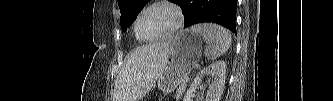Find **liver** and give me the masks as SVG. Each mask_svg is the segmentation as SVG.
Instances as JSON below:
<instances>
[{"label":"liver","mask_w":333,"mask_h":101,"mask_svg":"<svg viewBox=\"0 0 333 101\" xmlns=\"http://www.w3.org/2000/svg\"><path fill=\"white\" fill-rule=\"evenodd\" d=\"M168 41L135 49L116 78L114 101H138L160 77L169 52Z\"/></svg>","instance_id":"6515ba94"}]
</instances>
